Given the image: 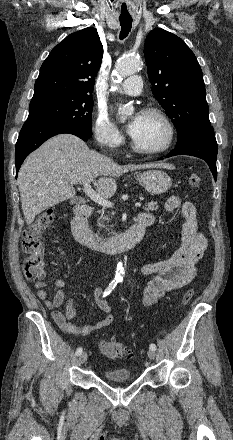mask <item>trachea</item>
I'll return each instance as SVG.
<instances>
[{"label": "trachea", "instance_id": "obj_1", "mask_svg": "<svg viewBox=\"0 0 233 440\" xmlns=\"http://www.w3.org/2000/svg\"><path fill=\"white\" fill-rule=\"evenodd\" d=\"M119 20L121 25L120 39L123 40L128 36L129 32L131 31L132 19L128 18V19H119Z\"/></svg>", "mask_w": 233, "mask_h": 440}]
</instances>
